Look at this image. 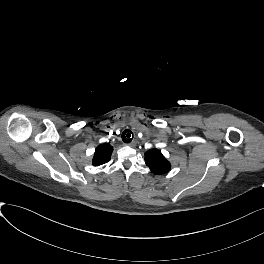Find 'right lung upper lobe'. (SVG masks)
<instances>
[{
  "mask_svg": "<svg viewBox=\"0 0 264 264\" xmlns=\"http://www.w3.org/2000/svg\"><path fill=\"white\" fill-rule=\"evenodd\" d=\"M113 148L110 144L105 143L99 145L94 153V157L92 160L93 166L102 165L110 160Z\"/></svg>",
  "mask_w": 264,
  "mask_h": 264,
  "instance_id": "right-lung-upper-lobe-1",
  "label": "right lung upper lobe"
}]
</instances>
